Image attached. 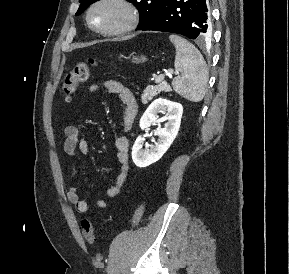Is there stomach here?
Listing matches in <instances>:
<instances>
[{
    "instance_id": "obj_1",
    "label": "stomach",
    "mask_w": 289,
    "mask_h": 274,
    "mask_svg": "<svg viewBox=\"0 0 289 274\" xmlns=\"http://www.w3.org/2000/svg\"><path fill=\"white\" fill-rule=\"evenodd\" d=\"M134 61H135L136 63H138V62H144V61H146V58H145V57H142L141 59L135 58Z\"/></svg>"
}]
</instances>
